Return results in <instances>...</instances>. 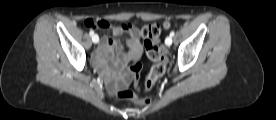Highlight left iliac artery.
Here are the masks:
<instances>
[{"instance_id":"1","label":"left iliac artery","mask_w":276,"mask_h":120,"mask_svg":"<svg viewBox=\"0 0 276 120\" xmlns=\"http://www.w3.org/2000/svg\"><path fill=\"white\" fill-rule=\"evenodd\" d=\"M175 35V32L174 31H171L170 32V36L173 37ZM166 44V43H165Z\"/></svg>"}]
</instances>
